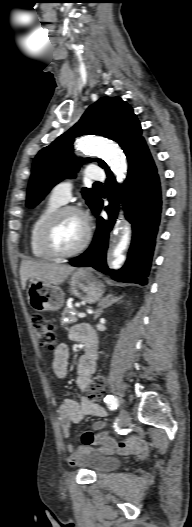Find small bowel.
<instances>
[{
    "instance_id": "small-bowel-1",
    "label": "small bowel",
    "mask_w": 192,
    "mask_h": 527,
    "mask_svg": "<svg viewBox=\"0 0 192 527\" xmlns=\"http://www.w3.org/2000/svg\"><path fill=\"white\" fill-rule=\"evenodd\" d=\"M70 336L75 341H80L85 344L86 351L80 358L78 363L76 385L86 394V397L80 401L66 397L58 409V416L60 425L63 431V436L66 440L71 439L70 427L72 423H78L86 416L104 417L106 412L104 408L98 403L89 398L88 394L92 387L94 378H92L96 356H97V340L93 329L89 325H77L72 328ZM68 361L69 349L64 343L57 345L54 350V359L52 368L58 378L64 379L68 375ZM106 427L104 421H97L93 424L95 431H84L81 436V444L75 445L74 442H69L68 450L70 455L68 462L72 465L76 464L80 457L91 449V446L100 444L103 446L105 453H110L115 449L122 452H127V457L130 460L135 459L136 454L144 456L147 453L146 445L136 437L127 438L124 441H115L108 431H102Z\"/></svg>"
}]
</instances>
